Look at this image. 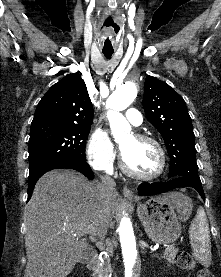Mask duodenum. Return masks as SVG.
<instances>
[{"label": "duodenum", "mask_w": 221, "mask_h": 277, "mask_svg": "<svg viewBox=\"0 0 221 277\" xmlns=\"http://www.w3.org/2000/svg\"><path fill=\"white\" fill-rule=\"evenodd\" d=\"M99 265H100V257L99 255L96 254L91 258L88 264V268L91 272H95L99 268Z\"/></svg>", "instance_id": "410a0bca"}]
</instances>
